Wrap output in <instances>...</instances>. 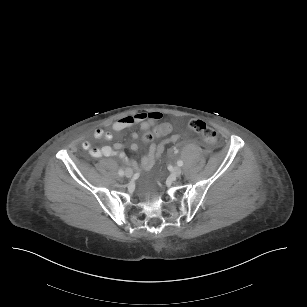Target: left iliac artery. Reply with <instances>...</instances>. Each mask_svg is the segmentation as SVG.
<instances>
[{"instance_id":"left-iliac-artery-1","label":"left iliac artery","mask_w":307,"mask_h":307,"mask_svg":"<svg viewBox=\"0 0 307 307\" xmlns=\"http://www.w3.org/2000/svg\"><path fill=\"white\" fill-rule=\"evenodd\" d=\"M177 165H178V166H182V165H183V161H182V160H179V161L177 162Z\"/></svg>"}]
</instances>
